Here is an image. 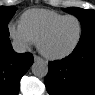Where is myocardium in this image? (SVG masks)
Segmentation results:
<instances>
[{"instance_id": "myocardium-1", "label": "myocardium", "mask_w": 95, "mask_h": 95, "mask_svg": "<svg viewBox=\"0 0 95 95\" xmlns=\"http://www.w3.org/2000/svg\"><path fill=\"white\" fill-rule=\"evenodd\" d=\"M69 18H73L76 19L78 24H79V34L77 37L76 42L74 43V45L67 51L63 52V53H59V54H51L48 53L44 50L43 48V42L44 40L56 29V27L58 25H60L64 20L69 19ZM83 32H84V27H83V22L81 21V19L73 14H68V15H64L63 17H61L60 19H58L57 21H55L54 23H52L39 37L38 41H37V48L39 50V52L46 58L51 59V60H60L63 58L68 57L69 55H71L79 46L82 37H83Z\"/></svg>"}]
</instances>
